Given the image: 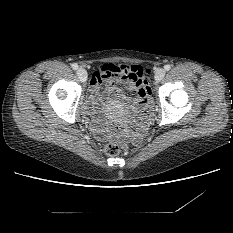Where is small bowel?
Returning a JSON list of instances; mask_svg holds the SVG:
<instances>
[{
  "instance_id": "c3829d8e",
  "label": "small bowel",
  "mask_w": 233,
  "mask_h": 233,
  "mask_svg": "<svg viewBox=\"0 0 233 233\" xmlns=\"http://www.w3.org/2000/svg\"><path fill=\"white\" fill-rule=\"evenodd\" d=\"M133 77L137 78L139 86L144 89L145 95L149 99L148 70L137 64L125 65L110 62H100L98 64V69L91 80L86 109L95 118L90 125V130L100 142L115 141L119 138L114 131L104 126L110 121L109 118L101 117L106 112H122L125 118L135 117L139 122V126L133 129L127 125V137L134 140L143 138L146 129L143 112L148 100L138 96L133 99L117 86V83H125L130 90H136V87L131 85ZM103 83H107V87L104 89L103 95L100 96Z\"/></svg>"
}]
</instances>
